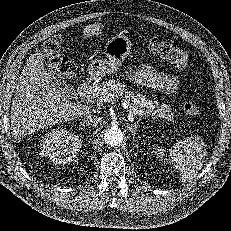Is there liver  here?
<instances>
[{"mask_svg": "<svg viewBox=\"0 0 231 231\" xmlns=\"http://www.w3.org/2000/svg\"><path fill=\"white\" fill-rule=\"evenodd\" d=\"M102 24L88 25L83 29L84 37L101 32ZM11 134L15 141L36 130L61 122L77 119L88 113V109L67 100L63 93L50 82L44 68V55H31L16 87L11 108Z\"/></svg>", "mask_w": 231, "mask_h": 231, "instance_id": "1", "label": "liver"}]
</instances>
